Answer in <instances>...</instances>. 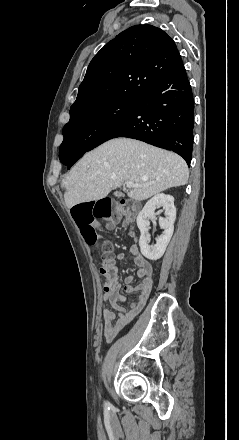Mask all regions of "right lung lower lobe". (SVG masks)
<instances>
[{"label": "right lung lower lobe", "mask_w": 239, "mask_h": 440, "mask_svg": "<svg viewBox=\"0 0 239 440\" xmlns=\"http://www.w3.org/2000/svg\"><path fill=\"white\" fill-rule=\"evenodd\" d=\"M194 99L182 59L173 70L137 98L128 113L98 135L87 149L59 152L69 169L85 152L116 138L138 139L174 151L190 166L193 148Z\"/></svg>", "instance_id": "1"}]
</instances>
